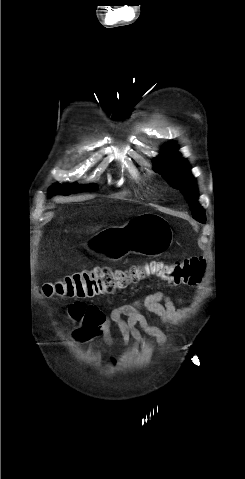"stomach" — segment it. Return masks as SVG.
<instances>
[{
  "instance_id": "stomach-1",
  "label": "stomach",
  "mask_w": 245,
  "mask_h": 479,
  "mask_svg": "<svg viewBox=\"0 0 245 479\" xmlns=\"http://www.w3.org/2000/svg\"><path fill=\"white\" fill-rule=\"evenodd\" d=\"M172 243L169 222L156 213H144L131 219L122 227L103 230L87 242V247L112 261H118L129 253L159 256Z\"/></svg>"
}]
</instances>
